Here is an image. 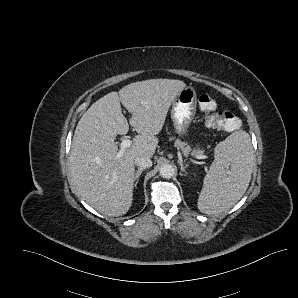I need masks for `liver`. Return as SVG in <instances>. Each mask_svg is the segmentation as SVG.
Instances as JSON below:
<instances>
[{
	"mask_svg": "<svg viewBox=\"0 0 298 298\" xmlns=\"http://www.w3.org/2000/svg\"><path fill=\"white\" fill-rule=\"evenodd\" d=\"M186 83L180 79L156 78L132 82L94 102L76 127L69 158L72 181L81 197L107 216L125 214L132 203L134 159L152 157L156 136L163 127L172 101ZM127 109V119L121 110ZM129 126L138 135L120 160L115 142Z\"/></svg>",
	"mask_w": 298,
	"mask_h": 298,
	"instance_id": "liver-1",
	"label": "liver"
}]
</instances>
